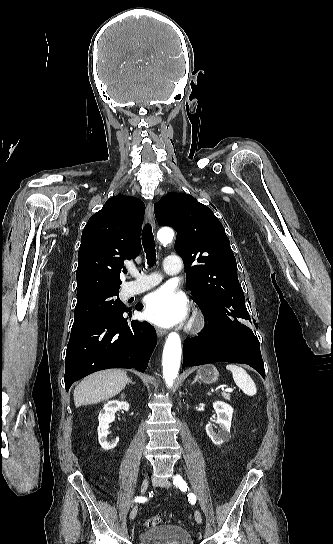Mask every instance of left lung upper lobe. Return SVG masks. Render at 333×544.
I'll return each instance as SVG.
<instances>
[{"instance_id":"left-lung-upper-lobe-1","label":"left lung upper lobe","mask_w":333,"mask_h":544,"mask_svg":"<svg viewBox=\"0 0 333 544\" xmlns=\"http://www.w3.org/2000/svg\"><path fill=\"white\" fill-rule=\"evenodd\" d=\"M160 225L177 231L175 250L186 264V283L214 321H250L237 265L222 223L191 195L168 193L154 205Z\"/></svg>"}]
</instances>
